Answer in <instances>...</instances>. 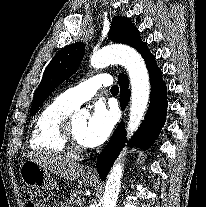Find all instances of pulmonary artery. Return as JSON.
Returning <instances> with one entry per match:
<instances>
[{
	"label": "pulmonary artery",
	"instance_id": "obj_1",
	"mask_svg": "<svg viewBox=\"0 0 206 207\" xmlns=\"http://www.w3.org/2000/svg\"><path fill=\"white\" fill-rule=\"evenodd\" d=\"M112 77L109 74H99L66 90L61 96L73 108H78L83 102L93 97L101 86H109Z\"/></svg>",
	"mask_w": 206,
	"mask_h": 207
}]
</instances>
